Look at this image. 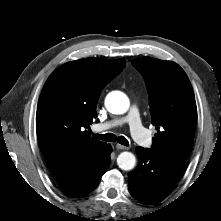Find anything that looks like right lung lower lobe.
Instances as JSON below:
<instances>
[{
  "label": "right lung lower lobe",
  "mask_w": 221,
  "mask_h": 221,
  "mask_svg": "<svg viewBox=\"0 0 221 221\" xmlns=\"http://www.w3.org/2000/svg\"><path fill=\"white\" fill-rule=\"evenodd\" d=\"M110 152L111 147L104 160L96 167L76 174L63 182H57L61 190L70 197H82L93 191L110 165Z\"/></svg>",
  "instance_id": "right-lung-lower-lobe-1"
}]
</instances>
